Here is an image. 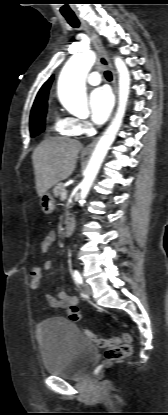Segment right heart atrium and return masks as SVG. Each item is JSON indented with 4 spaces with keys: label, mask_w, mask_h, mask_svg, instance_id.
I'll list each match as a JSON object with an SVG mask.
<instances>
[{
    "label": "right heart atrium",
    "mask_w": 168,
    "mask_h": 415,
    "mask_svg": "<svg viewBox=\"0 0 168 415\" xmlns=\"http://www.w3.org/2000/svg\"><path fill=\"white\" fill-rule=\"evenodd\" d=\"M75 129L78 135L87 134L91 131V124L86 120L75 119Z\"/></svg>",
    "instance_id": "1"
}]
</instances>
